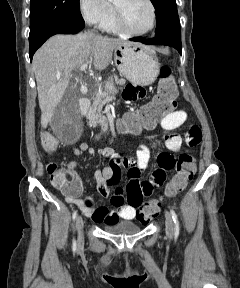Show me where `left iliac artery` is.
<instances>
[{"label": "left iliac artery", "mask_w": 240, "mask_h": 288, "mask_svg": "<svg viewBox=\"0 0 240 288\" xmlns=\"http://www.w3.org/2000/svg\"><path fill=\"white\" fill-rule=\"evenodd\" d=\"M170 214H171L173 221H174V224H175L174 235H175V237H177L179 235V230H180L178 218H177V215L173 209H170Z\"/></svg>", "instance_id": "44dca946"}]
</instances>
